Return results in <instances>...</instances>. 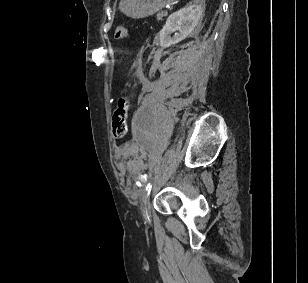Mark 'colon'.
<instances>
[{"label":"colon","instance_id":"colon-1","mask_svg":"<svg viewBox=\"0 0 308 283\" xmlns=\"http://www.w3.org/2000/svg\"><path fill=\"white\" fill-rule=\"evenodd\" d=\"M128 34L127 28L118 27L114 32V37L116 39H124ZM129 107L130 103L126 97L119 98L112 114V134L116 139H122L127 134Z\"/></svg>","mask_w":308,"mask_h":283}]
</instances>
